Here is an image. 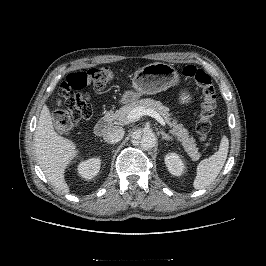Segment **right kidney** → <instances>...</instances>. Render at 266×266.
Here are the masks:
<instances>
[{"label":"right kidney","mask_w":266,"mask_h":266,"mask_svg":"<svg viewBox=\"0 0 266 266\" xmlns=\"http://www.w3.org/2000/svg\"><path fill=\"white\" fill-rule=\"evenodd\" d=\"M100 158H90L78 165V173L85 179H91L97 175L100 169Z\"/></svg>","instance_id":"1"}]
</instances>
